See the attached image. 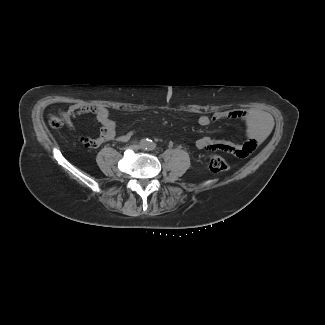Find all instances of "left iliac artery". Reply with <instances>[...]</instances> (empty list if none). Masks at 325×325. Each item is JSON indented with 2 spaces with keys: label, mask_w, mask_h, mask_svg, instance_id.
<instances>
[{
  "label": "left iliac artery",
  "mask_w": 325,
  "mask_h": 325,
  "mask_svg": "<svg viewBox=\"0 0 325 325\" xmlns=\"http://www.w3.org/2000/svg\"><path fill=\"white\" fill-rule=\"evenodd\" d=\"M155 148H156V144L153 143V142H151V143L149 144V150H154Z\"/></svg>",
  "instance_id": "obj_1"
}]
</instances>
